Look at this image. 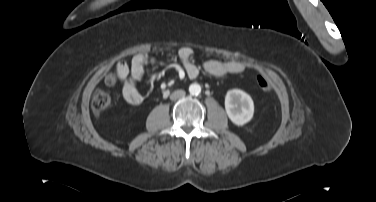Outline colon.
<instances>
[{
	"label": "colon",
	"instance_id": "5ec220e1",
	"mask_svg": "<svg viewBox=\"0 0 376 202\" xmlns=\"http://www.w3.org/2000/svg\"><path fill=\"white\" fill-rule=\"evenodd\" d=\"M116 83V76L114 74H109L105 78V84L107 86H113ZM257 86L263 91H269L271 88V82L265 75H259L256 79ZM111 105V97L104 90H97L92 99L91 107L94 114L99 115L106 111Z\"/></svg>",
	"mask_w": 376,
	"mask_h": 202
}]
</instances>
